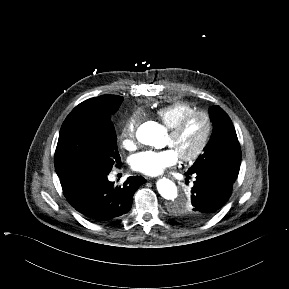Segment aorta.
<instances>
[{"mask_svg":"<svg viewBox=\"0 0 289 289\" xmlns=\"http://www.w3.org/2000/svg\"><path fill=\"white\" fill-rule=\"evenodd\" d=\"M164 135L165 129L155 122H147L141 125L137 131V139L139 142L156 148L161 146ZM157 190L163 198L173 202H178L177 186L171 180L166 178L160 179L157 182ZM181 201L187 203V200L184 198L181 199Z\"/></svg>","mask_w":289,"mask_h":289,"instance_id":"aorta-1","label":"aorta"}]
</instances>
